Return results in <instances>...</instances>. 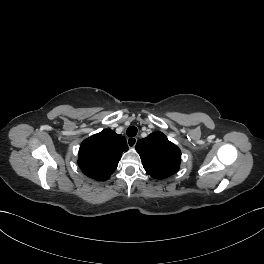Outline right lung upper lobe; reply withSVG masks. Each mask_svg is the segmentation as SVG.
Wrapping results in <instances>:
<instances>
[{
	"instance_id": "cb5924a9",
	"label": "right lung upper lobe",
	"mask_w": 264,
	"mask_h": 264,
	"mask_svg": "<svg viewBox=\"0 0 264 264\" xmlns=\"http://www.w3.org/2000/svg\"><path fill=\"white\" fill-rule=\"evenodd\" d=\"M127 150V142L122 135L104 129L83 141L78 165L85 175L104 181L116 170L122 153Z\"/></svg>"
}]
</instances>
